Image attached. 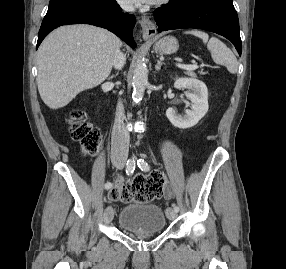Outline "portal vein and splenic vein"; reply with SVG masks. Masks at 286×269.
<instances>
[{"label": "portal vein and splenic vein", "instance_id": "1", "mask_svg": "<svg viewBox=\"0 0 286 269\" xmlns=\"http://www.w3.org/2000/svg\"><path fill=\"white\" fill-rule=\"evenodd\" d=\"M177 66L179 68H182V69H185V70H188V71L196 70L198 68L197 64L185 65V64L178 63Z\"/></svg>", "mask_w": 286, "mask_h": 269}]
</instances>
